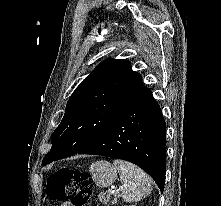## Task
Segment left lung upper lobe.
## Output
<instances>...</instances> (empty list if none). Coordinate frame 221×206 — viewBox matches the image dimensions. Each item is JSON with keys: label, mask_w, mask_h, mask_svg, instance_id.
<instances>
[{"label": "left lung upper lobe", "mask_w": 221, "mask_h": 206, "mask_svg": "<svg viewBox=\"0 0 221 206\" xmlns=\"http://www.w3.org/2000/svg\"><path fill=\"white\" fill-rule=\"evenodd\" d=\"M147 90L128 60L107 59L86 77L67 102L42 165L72 156L92 143Z\"/></svg>", "instance_id": "1"}]
</instances>
